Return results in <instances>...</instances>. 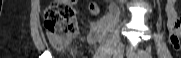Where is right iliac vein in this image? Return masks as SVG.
<instances>
[{
  "mask_svg": "<svg viewBox=\"0 0 181 58\" xmlns=\"http://www.w3.org/2000/svg\"><path fill=\"white\" fill-rule=\"evenodd\" d=\"M124 45L121 41H117L115 44L114 52H113V58H120L123 53Z\"/></svg>",
  "mask_w": 181,
  "mask_h": 58,
  "instance_id": "right-iliac-vein-1",
  "label": "right iliac vein"
}]
</instances>
